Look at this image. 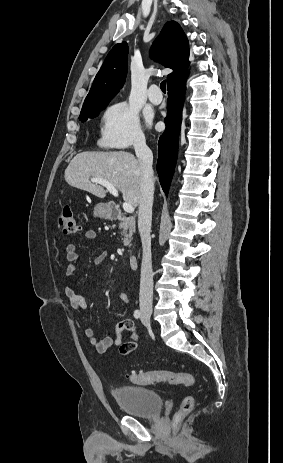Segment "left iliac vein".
Returning a JSON list of instances; mask_svg holds the SVG:
<instances>
[{
	"label": "left iliac vein",
	"mask_w": 283,
	"mask_h": 463,
	"mask_svg": "<svg viewBox=\"0 0 283 463\" xmlns=\"http://www.w3.org/2000/svg\"><path fill=\"white\" fill-rule=\"evenodd\" d=\"M141 321H142V323H143L145 326H148L149 323H150L149 318H146L144 315H142Z\"/></svg>",
	"instance_id": "left-iliac-vein-1"
}]
</instances>
